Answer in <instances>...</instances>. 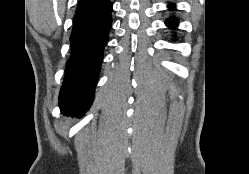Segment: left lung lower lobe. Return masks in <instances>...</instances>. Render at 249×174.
Wrapping results in <instances>:
<instances>
[{
  "label": "left lung lower lobe",
  "mask_w": 249,
  "mask_h": 174,
  "mask_svg": "<svg viewBox=\"0 0 249 174\" xmlns=\"http://www.w3.org/2000/svg\"><path fill=\"white\" fill-rule=\"evenodd\" d=\"M169 8L171 10H174V5L169 4ZM166 25L170 28H176L178 25V21L175 18H171V19H168V21H166Z\"/></svg>",
  "instance_id": "1"
}]
</instances>
